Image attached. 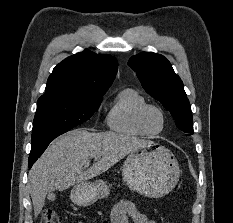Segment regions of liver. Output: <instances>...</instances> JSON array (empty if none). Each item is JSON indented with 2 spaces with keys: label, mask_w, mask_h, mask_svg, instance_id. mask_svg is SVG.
Returning a JSON list of instances; mask_svg holds the SVG:
<instances>
[{
  "label": "liver",
  "mask_w": 233,
  "mask_h": 223,
  "mask_svg": "<svg viewBox=\"0 0 233 223\" xmlns=\"http://www.w3.org/2000/svg\"><path fill=\"white\" fill-rule=\"evenodd\" d=\"M143 139L116 131L90 133L86 127L72 129L52 141L29 171V193L34 215L45 205L49 191H63L71 185L97 177L115 165L127 153L143 147ZM91 159H95L89 165Z\"/></svg>",
  "instance_id": "obj_1"
}]
</instances>
